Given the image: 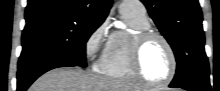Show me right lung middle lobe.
<instances>
[{"instance_id": "1", "label": "right lung middle lobe", "mask_w": 220, "mask_h": 91, "mask_svg": "<svg viewBox=\"0 0 220 91\" xmlns=\"http://www.w3.org/2000/svg\"><path fill=\"white\" fill-rule=\"evenodd\" d=\"M101 24L76 18H53L26 24L18 67L60 57L86 67L85 45Z\"/></svg>"}]
</instances>
